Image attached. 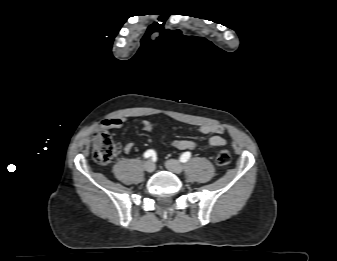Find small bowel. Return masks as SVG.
I'll return each mask as SVG.
<instances>
[{"label": "small bowel", "mask_w": 337, "mask_h": 261, "mask_svg": "<svg viewBox=\"0 0 337 261\" xmlns=\"http://www.w3.org/2000/svg\"><path fill=\"white\" fill-rule=\"evenodd\" d=\"M123 125V119L119 117H113L105 119L100 122V129H112L120 128ZM144 131L150 132L154 129V124L148 120H144L141 123ZM198 131L201 134L209 135V145L212 147H223L227 145V140L224 138V128L217 124H204L198 127ZM173 146L179 150H193L198 148V143L194 140L188 139H176L173 141ZM133 143L128 142L124 145L123 151L125 153L131 152Z\"/></svg>", "instance_id": "small-bowel-1"}]
</instances>
